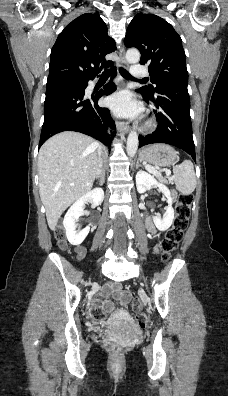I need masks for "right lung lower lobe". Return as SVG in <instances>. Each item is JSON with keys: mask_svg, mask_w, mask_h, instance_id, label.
I'll return each instance as SVG.
<instances>
[{"mask_svg": "<svg viewBox=\"0 0 228 396\" xmlns=\"http://www.w3.org/2000/svg\"><path fill=\"white\" fill-rule=\"evenodd\" d=\"M112 69L114 77L116 73ZM87 86L88 81L47 85L39 147L51 136L68 130L87 134L110 146L107 129L115 124L109 110L99 107L97 101L102 95L114 92L116 86L108 83L102 91L89 98L85 96Z\"/></svg>", "mask_w": 228, "mask_h": 396, "instance_id": "obj_1", "label": "right lung lower lobe"}]
</instances>
